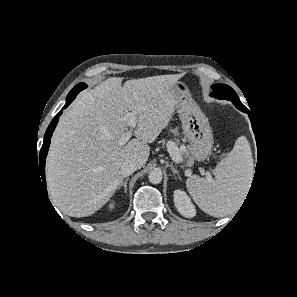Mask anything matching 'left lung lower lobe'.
Instances as JSON below:
<instances>
[{"label": "left lung lower lobe", "mask_w": 297, "mask_h": 297, "mask_svg": "<svg viewBox=\"0 0 297 297\" xmlns=\"http://www.w3.org/2000/svg\"><path fill=\"white\" fill-rule=\"evenodd\" d=\"M236 108H238L239 110L247 113L249 115L250 119H252L251 112L246 107H244V106H237Z\"/></svg>", "instance_id": "0a47b994"}]
</instances>
